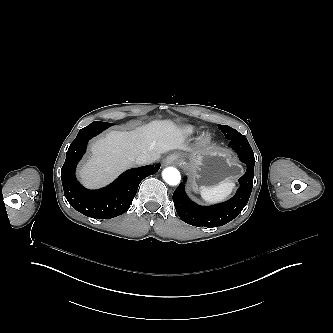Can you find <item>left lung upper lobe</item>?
Instances as JSON below:
<instances>
[{
	"label": "left lung upper lobe",
	"instance_id": "1",
	"mask_svg": "<svg viewBox=\"0 0 333 333\" xmlns=\"http://www.w3.org/2000/svg\"><path fill=\"white\" fill-rule=\"evenodd\" d=\"M218 128L221 130H224L222 133L225 135L226 133H228L229 131H231V127L227 126V125H218ZM233 129V128H232Z\"/></svg>",
	"mask_w": 333,
	"mask_h": 333
}]
</instances>
